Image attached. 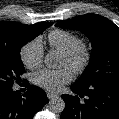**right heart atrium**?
<instances>
[{"label":"right heart atrium","instance_id":"d8ad5b80","mask_svg":"<svg viewBox=\"0 0 119 119\" xmlns=\"http://www.w3.org/2000/svg\"><path fill=\"white\" fill-rule=\"evenodd\" d=\"M20 60L25 67L35 70L42 65L44 48L40 38L26 42L19 52Z\"/></svg>","mask_w":119,"mask_h":119}]
</instances>
